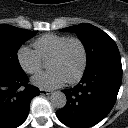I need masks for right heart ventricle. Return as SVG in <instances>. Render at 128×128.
<instances>
[{"label": "right heart ventricle", "instance_id": "e07e8e85", "mask_svg": "<svg viewBox=\"0 0 128 128\" xmlns=\"http://www.w3.org/2000/svg\"><path fill=\"white\" fill-rule=\"evenodd\" d=\"M70 37L60 34H46L34 42V48L43 61H48Z\"/></svg>", "mask_w": 128, "mask_h": 128}]
</instances>
